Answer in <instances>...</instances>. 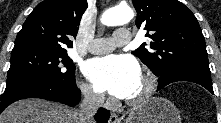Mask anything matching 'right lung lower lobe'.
Here are the masks:
<instances>
[{
    "instance_id": "obj_1",
    "label": "right lung lower lobe",
    "mask_w": 221,
    "mask_h": 123,
    "mask_svg": "<svg viewBox=\"0 0 221 123\" xmlns=\"http://www.w3.org/2000/svg\"><path fill=\"white\" fill-rule=\"evenodd\" d=\"M25 98H41L75 106L80 100V90L75 80L70 83L43 84L34 79L9 84L3 94L0 113L11 103ZM109 117V111L103 108H100L95 115L98 123H107Z\"/></svg>"
}]
</instances>
